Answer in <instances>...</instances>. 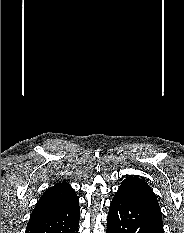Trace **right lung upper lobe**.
Wrapping results in <instances>:
<instances>
[{
    "label": "right lung upper lobe",
    "instance_id": "cb5924a9",
    "mask_svg": "<svg viewBox=\"0 0 184 233\" xmlns=\"http://www.w3.org/2000/svg\"><path fill=\"white\" fill-rule=\"evenodd\" d=\"M76 207H79V200L74 189L66 182L57 183L48 188L40 197L30 220Z\"/></svg>",
    "mask_w": 184,
    "mask_h": 233
}]
</instances>
